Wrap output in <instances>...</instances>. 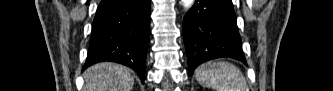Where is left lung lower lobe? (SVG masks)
Returning <instances> with one entry per match:
<instances>
[{"mask_svg": "<svg viewBox=\"0 0 333 91\" xmlns=\"http://www.w3.org/2000/svg\"><path fill=\"white\" fill-rule=\"evenodd\" d=\"M183 35L190 74L221 57L246 63L231 0H197L184 17Z\"/></svg>", "mask_w": 333, "mask_h": 91, "instance_id": "1", "label": "left lung lower lobe"}]
</instances>
